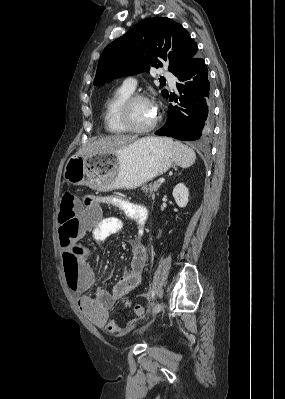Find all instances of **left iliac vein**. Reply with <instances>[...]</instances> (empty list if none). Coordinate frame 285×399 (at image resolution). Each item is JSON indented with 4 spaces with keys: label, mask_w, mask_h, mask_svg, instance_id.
<instances>
[{
    "label": "left iliac vein",
    "mask_w": 285,
    "mask_h": 399,
    "mask_svg": "<svg viewBox=\"0 0 285 399\" xmlns=\"http://www.w3.org/2000/svg\"><path fill=\"white\" fill-rule=\"evenodd\" d=\"M164 308V304L162 302L157 303L153 310H152V316L156 315L158 312H160Z\"/></svg>",
    "instance_id": "left-iliac-vein-1"
}]
</instances>
